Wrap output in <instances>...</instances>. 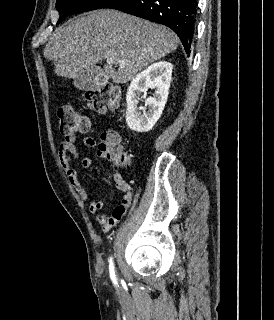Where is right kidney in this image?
Returning <instances> with one entry per match:
<instances>
[{
	"instance_id": "1",
	"label": "right kidney",
	"mask_w": 274,
	"mask_h": 320,
	"mask_svg": "<svg viewBox=\"0 0 274 320\" xmlns=\"http://www.w3.org/2000/svg\"><path fill=\"white\" fill-rule=\"evenodd\" d=\"M173 66L170 62H156L143 70L132 80L126 92V124L133 132H149L161 118V114L167 102L171 84ZM148 88L155 90L153 98L141 96ZM144 98L147 112H139L137 106L139 100Z\"/></svg>"
}]
</instances>
